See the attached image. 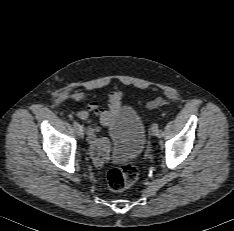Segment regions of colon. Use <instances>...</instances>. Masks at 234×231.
Masks as SVG:
<instances>
[{"label":"colon","mask_w":234,"mask_h":231,"mask_svg":"<svg viewBox=\"0 0 234 231\" xmlns=\"http://www.w3.org/2000/svg\"><path fill=\"white\" fill-rule=\"evenodd\" d=\"M154 102L153 105H156ZM137 179V169L131 163L123 164L108 172L107 182L111 190L122 191L132 186Z\"/></svg>","instance_id":"colon-1"}]
</instances>
